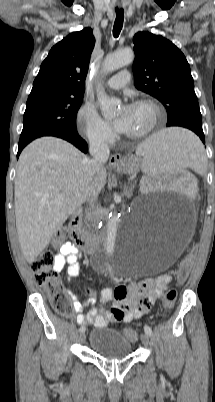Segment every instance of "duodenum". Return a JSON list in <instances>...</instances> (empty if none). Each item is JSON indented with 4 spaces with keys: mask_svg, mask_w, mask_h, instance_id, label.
I'll return each mask as SVG.
<instances>
[{
    "mask_svg": "<svg viewBox=\"0 0 215 402\" xmlns=\"http://www.w3.org/2000/svg\"><path fill=\"white\" fill-rule=\"evenodd\" d=\"M82 213L80 210L75 211L69 222V234L72 240L78 244L83 251L89 254H93L97 249V241L84 236L79 229V225L81 222Z\"/></svg>",
    "mask_w": 215,
    "mask_h": 402,
    "instance_id": "duodenum-1",
    "label": "duodenum"
}]
</instances>
